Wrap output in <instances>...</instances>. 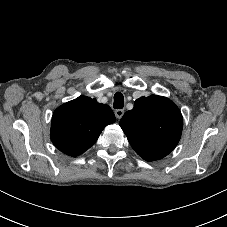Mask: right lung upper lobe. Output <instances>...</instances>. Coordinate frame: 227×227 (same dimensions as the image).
<instances>
[{
  "mask_svg": "<svg viewBox=\"0 0 227 227\" xmlns=\"http://www.w3.org/2000/svg\"><path fill=\"white\" fill-rule=\"evenodd\" d=\"M115 115L106 104L81 96L58 107L51 123V140L61 152L76 157L90 148Z\"/></svg>",
  "mask_w": 227,
  "mask_h": 227,
  "instance_id": "cb5924a9",
  "label": "right lung upper lobe"
}]
</instances>
